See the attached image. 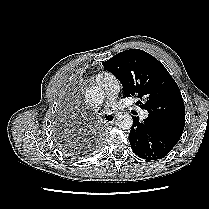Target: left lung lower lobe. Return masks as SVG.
<instances>
[{
	"mask_svg": "<svg viewBox=\"0 0 209 209\" xmlns=\"http://www.w3.org/2000/svg\"><path fill=\"white\" fill-rule=\"evenodd\" d=\"M184 125L185 121L169 116L148 115L141 123L138 117H133L131 148L142 159H162L179 141Z\"/></svg>",
	"mask_w": 209,
	"mask_h": 209,
	"instance_id": "obj_1",
	"label": "left lung lower lobe"
}]
</instances>
